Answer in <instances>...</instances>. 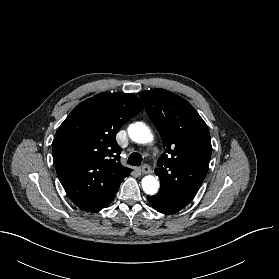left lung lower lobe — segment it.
<instances>
[{
  "label": "left lung lower lobe",
  "instance_id": "0a47b994",
  "mask_svg": "<svg viewBox=\"0 0 279 279\" xmlns=\"http://www.w3.org/2000/svg\"><path fill=\"white\" fill-rule=\"evenodd\" d=\"M150 205L160 213L173 214L180 211L188 205L192 197L178 196L163 191L158 192L154 196H147Z\"/></svg>",
  "mask_w": 279,
  "mask_h": 279
}]
</instances>
